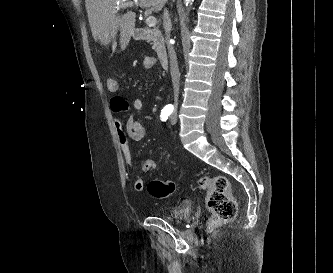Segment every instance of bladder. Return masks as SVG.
Returning <instances> with one entry per match:
<instances>
[{
	"instance_id": "1",
	"label": "bladder",
	"mask_w": 333,
	"mask_h": 273,
	"mask_svg": "<svg viewBox=\"0 0 333 273\" xmlns=\"http://www.w3.org/2000/svg\"><path fill=\"white\" fill-rule=\"evenodd\" d=\"M192 206L188 202H181L169 208L168 213L164 216L169 221H182L191 217Z\"/></svg>"
}]
</instances>
